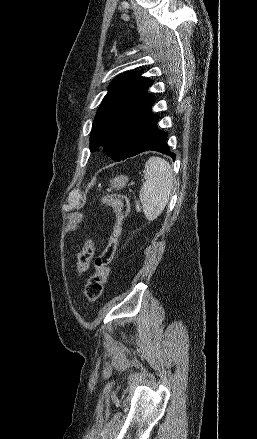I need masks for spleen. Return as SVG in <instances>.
<instances>
[{
	"instance_id": "spleen-1",
	"label": "spleen",
	"mask_w": 257,
	"mask_h": 439,
	"mask_svg": "<svg viewBox=\"0 0 257 439\" xmlns=\"http://www.w3.org/2000/svg\"><path fill=\"white\" fill-rule=\"evenodd\" d=\"M144 180L139 198L143 212L149 221L156 220L168 203L174 182L170 164L160 158L151 157L145 163Z\"/></svg>"
}]
</instances>
